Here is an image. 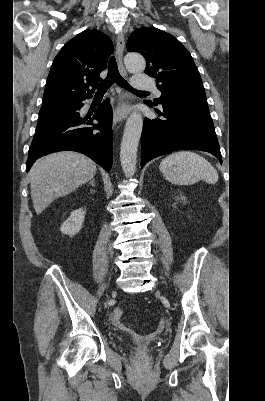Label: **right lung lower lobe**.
<instances>
[{"mask_svg": "<svg viewBox=\"0 0 265 401\" xmlns=\"http://www.w3.org/2000/svg\"><path fill=\"white\" fill-rule=\"evenodd\" d=\"M83 101V100H82ZM83 103L73 112H49L39 116L29 148L26 171L40 157L58 151L85 154L110 171L112 165V108L105 100L93 115L80 117Z\"/></svg>", "mask_w": 265, "mask_h": 401, "instance_id": "right-lung-lower-lobe-1", "label": "right lung lower lobe"}]
</instances>
